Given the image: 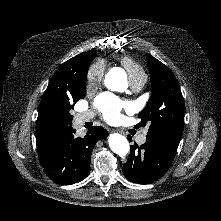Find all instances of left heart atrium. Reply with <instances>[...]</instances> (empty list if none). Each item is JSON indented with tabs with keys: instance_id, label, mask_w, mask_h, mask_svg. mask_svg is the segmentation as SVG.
<instances>
[{
	"instance_id": "39dd6f15",
	"label": "left heart atrium",
	"mask_w": 221,
	"mask_h": 221,
	"mask_svg": "<svg viewBox=\"0 0 221 221\" xmlns=\"http://www.w3.org/2000/svg\"><path fill=\"white\" fill-rule=\"evenodd\" d=\"M95 107L102 113L105 120L114 122L119 119L121 111L128 105L110 93L99 95L94 103Z\"/></svg>"
}]
</instances>
